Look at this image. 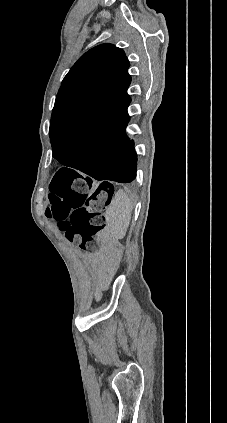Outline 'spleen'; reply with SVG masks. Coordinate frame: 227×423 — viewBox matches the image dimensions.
I'll return each mask as SVG.
<instances>
[{
  "label": "spleen",
  "instance_id": "3e777b00",
  "mask_svg": "<svg viewBox=\"0 0 227 423\" xmlns=\"http://www.w3.org/2000/svg\"><path fill=\"white\" fill-rule=\"evenodd\" d=\"M131 211V200L124 190H118L105 213L106 223L116 239L125 237L131 219Z\"/></svg>",
  "mask_w": 227,
  "mask_h": 423
}]
</instances>
